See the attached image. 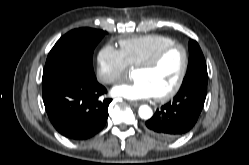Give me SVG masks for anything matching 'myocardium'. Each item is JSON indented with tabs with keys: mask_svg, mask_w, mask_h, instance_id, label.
<instances>
[{
	"mask_svg": "<svg viewBox=\"0 0 249 165\" xmlns=\"http://www.w3.org/2000/svg\"><path fill=\"white\" fill-rule=\"evenodd\" d=\"M179 49L182 52L183 55V65L180 71V74L177 78V81L173 85V87L168 90L167 92L160 94V95H155V99L157 101H167L173 96H175L180 88L182 87V84L185 80L188 68H189V53L186 49V47L180 43H173L170 45H167L160 49L152 58L149 60L139 64L136 66V69H142V70H151L156 68L162 60L166 57V55L171 52L172 50Z\"/></svg>",
	"mask_w": 249,
	"mask_h": 165,
	"instance_id": "myocardium-1",
	"label": "myocardium"
}]
</instances>
